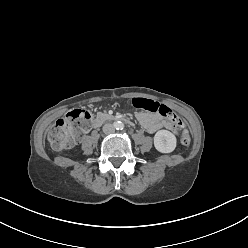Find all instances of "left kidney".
Segmentation results:
<instances>
[{
  "label": "left kidney",
  "instance_id": "left-kidney-1",
  "mask_svg": "<svg viewBox=\"0 0 248 248\" xmlns=\"http://www.w3.org/2000/svg\"><path fill=\"white\" fill-rule=\"evenodd\" d=\"M177 140L168 130H159L154 136V146L161 153H171L176 148Z\"/></svg>",
  "mask_w": 248,
  "mask_h": 248
}]
</instances>
